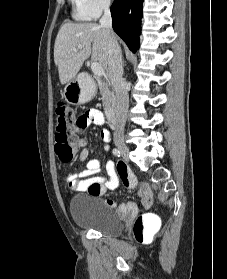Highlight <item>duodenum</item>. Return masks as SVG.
Listing matches in <instances>:
<instances>
[{
  "instance_id": "1",
  "label": "duodenum",
  "mask_w": 227,
  "mask_h": 279,
  "mask_svg": "<svg viewBox=\"0 0 227 279\" xmlns=\"http://www.w3.org/2000/svg\"><path fill=\"white\" fill-rule=\"evenodd\" d=\"M107 118L111 123H116L117 122V118L115 115V111L112 108H109L106 112Z\"/></svg>"
}]
</instances>
